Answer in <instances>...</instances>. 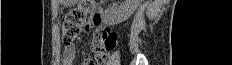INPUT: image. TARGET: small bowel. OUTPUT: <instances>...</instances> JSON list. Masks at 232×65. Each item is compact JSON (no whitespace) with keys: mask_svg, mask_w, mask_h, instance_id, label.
Listing matches in <instances>:
<instances>
[{"mask_svg":"<svg viewBox=\"0 0 232 65\" xmlns=\"http://www.w3.org/2000/svg\"><path fill=\"white\" fill-rule=\"evenodd\" d=\"M96 28V37H103L107 36L111 33L108 28H104L102 26V18L99 13H95L90 20H88L84 25L85 31H90L91 29ZM76 50L73 44H69L65 46L63 52V65H72L73 60L75 58ZM82 65H104L103 62H91V60L85 61Z\"/></svg>","mask_w":232,"mask_h":65,"instance_id":"1","label":"small bowel"}]
</instances>
